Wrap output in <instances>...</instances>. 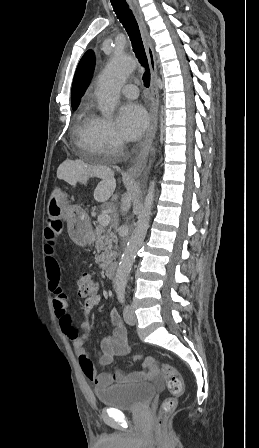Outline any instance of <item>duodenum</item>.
Listing matches in <instances>:
<instances>
[{
    "label": "duodenum",
    "mask_w": 259,
    "mask_h": 448,
    "mask_svg": "<svg viewBox=\"0 0 259 448\" xmlns=\"http://www.w3.org/2000/svg\"><path fill=\"white\" fill-rule=\"evenodd\" d=\"M117 268H118V266L116 263H111V264L107 265L105 268L106 276L110 279H114L116 277Z\"/></svg>",
    "instance_id": "duodenum-1"
}]
</instances>
